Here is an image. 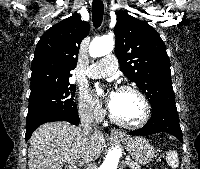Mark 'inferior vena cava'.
Listing matches in <instances>:
<instances>
[{
    "mask_svg": "<svg viewBox=\"0 0 200 169\" xmlns=\"http://www.w3.org/2000/svg\"><path fill=\"white\" fill-rule=\"evenodd\" d=\"M80 128L85 136H88L91 133L97 134L99 133V126L98 124L94 121L93 114H83L81 116V125ZM87 169H92L91 165L90 168Z\"/></svg>",
    "mask_w": 200,
    "mask_h": 169,
    "instance_id": "1",
    "label": "inferior vena cava"
}]
</instances>
